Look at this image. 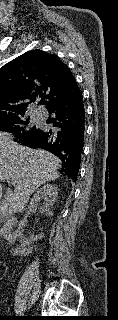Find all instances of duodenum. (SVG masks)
<instances>
[{"label":"duodenum","instance_id":"duodenum-1","mask_svg":"<svg viewBox=\"0 0 118 320\" xmlns=\"http://www.w3.org/2000/svg\"><path fill=\"white\" fill-rule=\"evenodd\" d=\"M17 224L16 219L12 217L3 218L2 224L0 226V237H2L8 243L15 241L14 228Z\"/></svg>","mask_w":118,"mask_h":320}]
</instances>
